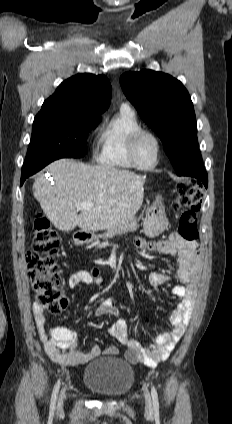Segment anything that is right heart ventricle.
<instances>
[{
	"instance_id": "obj_1",
	"label": "right heart ventricle",
	"mask_w": 232,
	"mask_h": 424,
	"mask_svg": "<svg viewBox=\"0 0 232 424\" xmlns=\"http://www.w3.org/2000/svg\"><path fill=\"white\" fill-rule=\"evenodd\" d=\"M141 128L136 113L128 106H122L100 130L98 162L116 169L134 168L128 156V143L131 135Z\"/></svg>"
}]
</instances>
